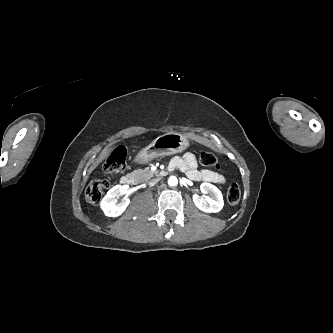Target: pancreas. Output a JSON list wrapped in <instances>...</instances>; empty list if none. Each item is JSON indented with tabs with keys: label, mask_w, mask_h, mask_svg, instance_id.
<instances>
[{
	"label": "pancreas",
	"mask_w": 333,
	"mask_h": 333,
	"mask_svg": "<svg viewBox=\"0 0 333 333\" xmlns=\"http://www.w3.org/2000/svg\"><path fill=\"white\" fill-rule=\"evenodd\" d=\"M154 175H156V172L148 169H138L131 173V177L134 178L137 182L148 181Z\"/></svg>",
	"instance_id": "1"
}]
</instances>
